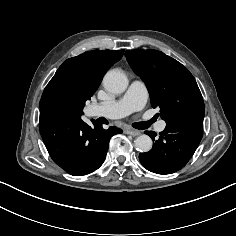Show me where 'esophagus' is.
<instances>
[{
  "label": "esophagus",
  "mask_w": 236,
  "mask_h": 236,
  "mask_svg": "<svg viewBox=\"0 0 236 236\" xmlns=\"http://www.w3.org/2000/svg\"><path fill=\"white\" fill-rule=\"evenodd\" d=\"M126 134H129V135H131V136L135 137V136H138V135H140V134H141V132H140V131H138V130H127V131H126Z\"/></svg>",
  "instance_id": "obj_1"
}]
</instances>
